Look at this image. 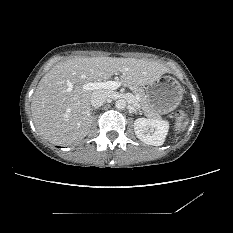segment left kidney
Returning a JSON list of instances; mask_svg holds the SVG:
<instances>
[{
    "mask_svg": "<svg viewBox=\"0 0 233 233\" xmlns=\"http://www.w3.org/2000/svg\"><path fill=\"white\" fill-rule=\"evenodd\" d=\"M136 137L142 142L160 146L164 143L169 130V123L164 120L138 118L134 122Z\"/></svg>",
    "mask_w": 233,
    "mask_h": 233,
    "instance_id": "left-kidney-1",
    "label": "left kidney"
}]
</instances>
